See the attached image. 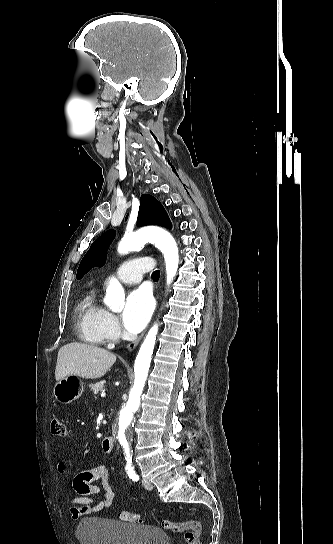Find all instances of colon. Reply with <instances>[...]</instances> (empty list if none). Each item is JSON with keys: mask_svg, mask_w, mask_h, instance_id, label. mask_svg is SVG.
Instances as JSON below:
<instances>
[{"mask_svg": "<svg viewBox=\"0 0 333 544\" xmlns=\"http://www.w3.org/2000/svg\"><path fill=\"white\" fill-rule=\"evenodd\" d=\"M51 432L57 437H65L67 428L65 423L59 418H53L50 423ZM120 519L131 523H143L144 519L141 514L128 511L119 513ZM162 527L176 533H182L186 544H201V524L197 521L187 522H172L169 520L162 521Z\"/></svg>", "mask_w": 333, "mask_h": 544, "instance_id": "obj_1", "label": "colon"}]
</instances>
